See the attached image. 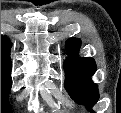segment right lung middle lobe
Segmentation results:
<instances>
[{
    "mask_svg": "<svg viewBox=\"0 0 121 113\" xmlns=\"http://www.w3.org/2000/svg\"><path fill=\"white\" fill-rule=\"evenodd\" d=\"M10 68L1 67V113L10 112L7 95L11 88Z\"/></svg>",
    "mask_w": 121,
    "mask_h": 113,
    "instance_id": "right-lung-middle-lobe-1",
    "label": "right lung middle lobe"
}]
</instances>
